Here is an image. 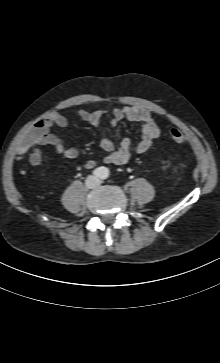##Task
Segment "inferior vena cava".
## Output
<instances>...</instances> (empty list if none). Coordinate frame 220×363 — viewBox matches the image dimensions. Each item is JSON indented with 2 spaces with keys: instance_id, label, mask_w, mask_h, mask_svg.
Masks as SVG:
<instances>
[{
  "instance_id": "1",
  "label": "inferior vena cava",
  "mask_w": 220,
  "mask_h": 363,
  "mask_svg": "<svg viewBox=\"0 0 220 363\" xmlns=\"http://www.w3.org/2000/svg\"><path fill=\"white\" fill-rule=\"evenodd\" d=\"M97 184H98V179L95 178V177H93V181L92 182H90V183L87 182V186H89L91 188L92 187H95Z\"/></svg>"
}]
</instances>
